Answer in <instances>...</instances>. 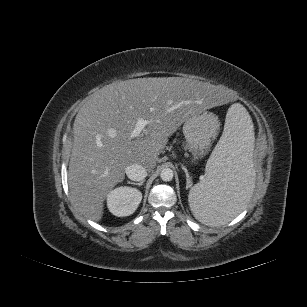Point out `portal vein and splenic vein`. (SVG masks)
I'll return each instance as SVG.
<instances>
[{"instance_id": "1", "label": "portal vein and splenic vein", "mask_w": 307, "mask_h": 307, "mask_svg": "<svg viewBox=\"0 0 307 307\" xmlns=\"http://www.w3.org/2000/svg\"><path fill=\"white\" fill-rule=\"evenodd\" d=\"M149 124L148 120H144L142 118H138L135 124V128L131 132V138H136L140 135L142 131H144L145 126Z\"/></svg>"}]
</instances>
